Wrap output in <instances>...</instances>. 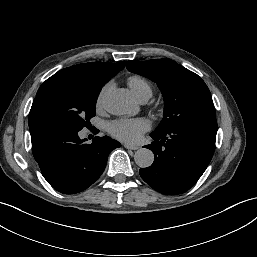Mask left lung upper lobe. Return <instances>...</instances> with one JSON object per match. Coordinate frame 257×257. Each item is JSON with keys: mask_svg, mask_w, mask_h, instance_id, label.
<instances>
[{"mask_svg": "<svg viewBox=\"0 0 257 257\" xmlns=\"http://www.w3.org/2000/svg\"><path fill=\"white\" fill-rule=\"evenodd\" d=\"M127 69L156 82L163 94L164 117L154 133H164L182 124L216 118L205 82L175 61H128Z\"/></svg>", "mask_w": 257, "mask_h": 257, "instance_id": "left-lung-upper-lobe-1", "label": "left lung upper lobe"}]
</instances>
